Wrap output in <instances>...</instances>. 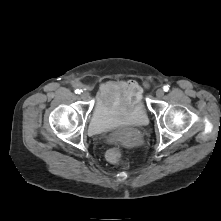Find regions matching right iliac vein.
Here are the masks:
<instances>
[{
	"instance_id": "1",
	"label": "right iliac vein",
	"mask_w": 221,
	"mask_h": 221,
	"mask_svg": "<svg viewBox=\"0 0 221 221\" xmlns=\"http://www.w3.org/2000/svg\"><path fill=\"white\" fill-rule=\"evenodd\" d=\"M80 97L83 99V100H86L88 99L89 97V93L87 91H83L80 95Z\"/></svg>"
}]
</instances>
